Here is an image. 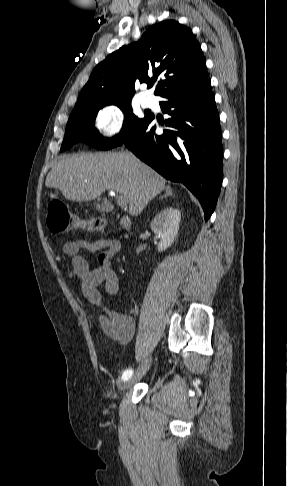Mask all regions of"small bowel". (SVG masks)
<instances>
[{"label": "small bowel", "mask_w": 287, "mask_h": 486, "mask_svg": "<svg viewBox=\"0 0 287 486\" xmlns=\"http://www.w3.org/2000/svg\"><path fill=\"white\" fill-rule=\"evenodd\" d=\"M121 250V243L115 239H98L88 241L80 238L66 241L62 246L63 253L71 258L75 274L81 280V288L85 298L101 308L100 323L107 336L120 344L130 342L135 334L133 309L128 313H119L107 308L103 303L99 289L104 285L110 295L119 291V279L111 267L112 258ZM99 252L98 266L91 269L82 252Z\"/></svg>", "instance_id": "c3829d8e"}]
</instances>
